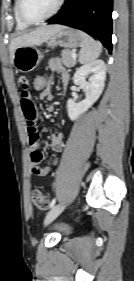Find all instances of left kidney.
<instances>
[{"label": "left kidney", "mask_w": 134, "mask_h": 281, "mask_svg": "<svg viewBox=\"0 0 134 281\" xmlns=\"http://www.w3.org/2000/svg\"><path fill=\"white\" fill-rule=\"evenodd\" d=\"M89 75V81L86 77ZM106 77V65L102 60L87 63L78 68L74 74V84L80 86L85 91V99L76 103L74 99L67 101L68 116L72 121L86 112L100 97L104 89Z\"/></svg>", "instance_id": "obj_1"}]
</instances>
